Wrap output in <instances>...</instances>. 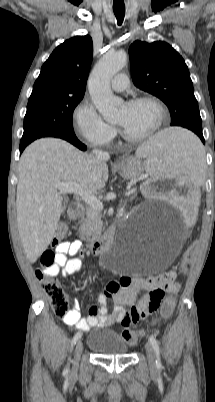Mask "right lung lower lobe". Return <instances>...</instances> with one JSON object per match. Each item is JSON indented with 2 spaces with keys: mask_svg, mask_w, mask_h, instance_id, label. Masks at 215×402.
Wrapping results in <instances>:
<instances>
[{
  "mask_svg": "<svg viewBox=\"0 0 215 402\" xmlns=\"http://www.w3.org/2000/svg\"><path fill=\"white\" fill-rule=\"evenodd\" d=\"M62 139L67 140L68 142L72 143L73 145H75L76 147H78L79 149L85 151L87 149V147L82 144L77 137L75 136V134L71 135V136H65ZM27 145H20V153H22V151L25 149Z\"/></svg>",
  "mask_w": 215,
  "mask_h": 402,
  "instance_id": "98d812e1",
  "label": "right lung lower lobe"
}]
</instances>
